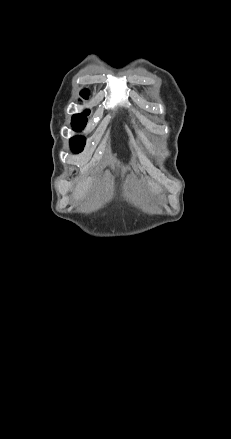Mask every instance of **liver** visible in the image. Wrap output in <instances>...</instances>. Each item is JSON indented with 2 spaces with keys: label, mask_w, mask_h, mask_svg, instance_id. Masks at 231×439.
<instances>
[{
  "label": "liver",
  "mask_w": 231,
  "mask_h": 439,
  "mask_svg": "<svg viewBox=\"0 0 231 439\" xmlns=\"http://www.w3.org/2000/svg\"><path fill=\"white\" fill-rule=\"evenodd\" d=\"M91 185H92V179L91 178H87V179L81 181L75 187V189L73 191V197L76 200L83 198L86 195V193H87V191H88V189L90 188ZM149 186H150L151 190L154 191V192H159L161 190V188L157 184H155L153 182H150Z\"/></svg>",
  "instance_id": "obj_1"
}]
</instances>
